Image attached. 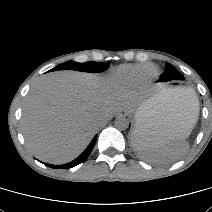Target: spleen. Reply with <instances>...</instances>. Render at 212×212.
Wrapping results in <instances>:
<instances>
[{
	"mask_svg": "<svg viewBox=\"0 0 212 212\" xmlns=\"http://www.w3.org/2000/svg\"><path fill=\"white\" fill-rule=\"evenodd\" d=\"M162 97L174 99L189 114L195 116L199 110V102L192 88H174L162 92ZM134 138L138 140L140 148L148 150L149 160L154 162H168L181 157L188 149L185 136L166 137L159 130L148 128V119L140 115L135 116Z\"/></svg>",
	"mask_w": 212,
	"mask_h": 212,
	"instance_id": "obj_1",
	"label": "spleen"
}]
</instances>
